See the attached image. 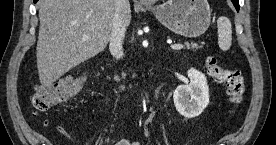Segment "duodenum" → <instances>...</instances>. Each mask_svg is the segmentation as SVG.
Masks as SVG:
<instances>
[{"label":"duodenum","mask_w":276,"mask_h":145,"mask_svg":"<svg viewBox=\"0 0 276 145\" xmlns=\"http://www.w3.org/2000/svg\"><path fill=\"white\" fill-rule=\"evenodd\" d=\"M113 76H114L115 80H121V75L118 71H114ZM151 76H152V72H150L148 74V77H151Z\"/></svg>","instance_id":"1"}]
</instances>
